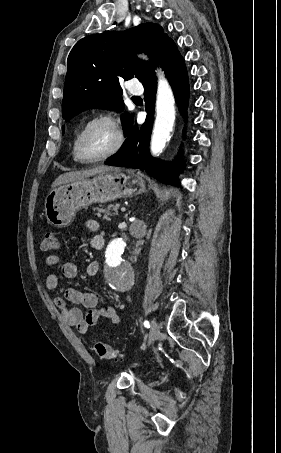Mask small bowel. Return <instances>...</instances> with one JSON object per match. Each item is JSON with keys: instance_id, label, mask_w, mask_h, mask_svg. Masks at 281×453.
I'll use <instances>...</instances> for the list:
<instances>
[{"instance_id": "1", "label": "small bowel", "mask_w": 281, "mask_h": 453, "mask_svg": "<svg viewBox=\"0 0 281 453\" xmlns=\"http://www.w3.org/2000/svg\"><path fill=\"white\" fill-rule=\"evenodd\" d=\"M86 228L89 232L96 233L100 230V224L94 220H89L86 222ZM92 244L95 251L100 252L103 249L104 239L102 237H94ZM58 261L59 258L57 256L49 255L46 258V265L50 268L55 266ZM99 270L100 264L96 261H91L85 267V275L88 277L96 276ZM61 272L66 279H76L78 277V268L74 261L64 262ZM44 280L47 288L59 293V296H56L53 300L54 306L80 334H86L90 327L95 326L104 318L114 323L120 322V317L114 308H102L99 306V300L94 294L62 285L59 281V276L51 269L46 272ZM68 302L82 306L86 309V312L79 308L69 307L67 305Z\"/></svg>"}]
</instances>
